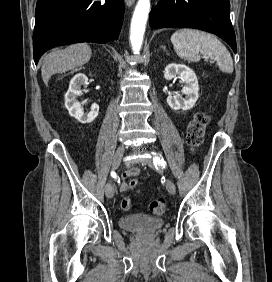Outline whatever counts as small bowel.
I'll list each match as a JSON object with an SVG mask.
<instances>
[{
	"mask_svg": "<svg viewBox=\"0 0 272 282\" xmlns=\"http://www.w3.org/2000/svg\"><path fill=\"white\" fill-rule=\"evenodd\" d=\"M138 173L139 170L137 168H130L125 174L122 175V178L126 179L127 177L137 175ZM120 189L122 191H127L129 189V186L126 183L122 182L120 185Z\"/></svg>",
	"mask_w": 272,
	"mask_h": 282,
	"instance_id": "1",
	"label": "small bowel"
}]
</instances>
